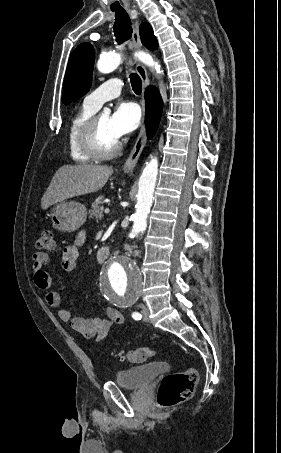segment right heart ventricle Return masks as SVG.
I'll list each match as a JSON object with an SVG mask.
<instances>
[{
    "mask_svg": "<svg viewBox=\"0 0 281 453\" xmlns=\"http://www.w3.org/2000/svg\"><path fill=\"white\" fill-rule=\"evenodd\" d=\"M98 109L92 107L86 99L83 106L71 118L68 126V145L71 156L76 162L92 160L81 146V133L87 122L95 115Z\"/></svg>",
    "mask_w": 281,
    "mask_h": 453,
    "instance_id": "e07e8e85",
    "label": "right heart ventricle"
}]
</instances>
